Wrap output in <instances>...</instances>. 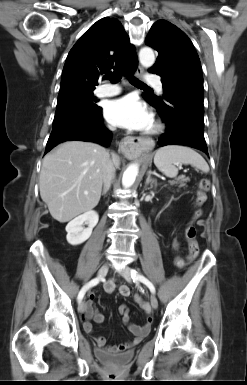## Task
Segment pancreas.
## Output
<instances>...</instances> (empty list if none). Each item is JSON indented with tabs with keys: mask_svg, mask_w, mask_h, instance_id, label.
Here are the masks:
<instances>
[{
	"mask_svg": "<svg viewBox=\"0 0 247 385\" xmlns=\"http://www.w3.org/2000/svg\"><path fill=\"white\" fill-rule=\"evenodd\" d=\"M187 181H189V178L185 177V175H181L175 180L171 181L170 185L179 184V187H185Z\"/></svg>",
	"mask_w": 247,
	"mask_h": 385,
	"instance_id": "1",
	"label": "pancreas"
}]
</instances>
